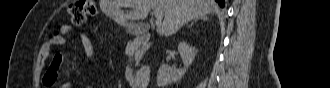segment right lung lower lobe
<instances>
[{"instance_id": "98d812e1", "label": "right lung lower lobe", "mask_w": 330, "mask_h": 88, "mask_svg": "<svg viewBox=\"0 0 330 88\" xmlns=\"http://www.w3.org/2000/svg\"><path fill=\"white\" fill-rule=\"evenodd\" d=\"M216 2H218V4L221 6V7H224L225 6V2L224 0H215Z\"/></svg>"}]
</instances>
